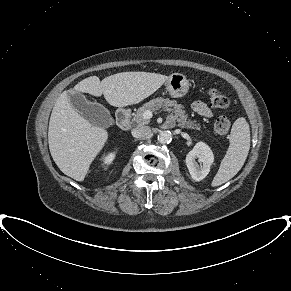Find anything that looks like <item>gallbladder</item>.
<instances>
[{
    "label": "gallbladder",
    "mask_w": 291,
    "mask_h": 291,
    "mask_svg": "<svg viewBox=\"0 0 291 291\" xmlns=\"http://www.w3.org/2000/svg\"><path fill=\"white\" fill-rule=\"evenodd\" d=\"M69 101L73 108L92 125L108 127L113 123L108 109L99 103L88 101L83 94L69 90Z\"/></svg>",
    "instance_id": "1"
}]
</instances>
